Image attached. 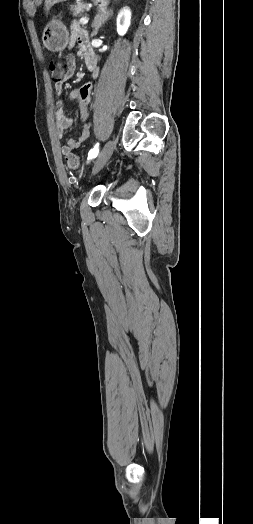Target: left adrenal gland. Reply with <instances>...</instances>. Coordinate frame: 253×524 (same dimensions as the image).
Returning <instances> with one entry per match:
<instances>
[{"label":"left adrenal gland","instance_id":"1","mask_svg":"<svg viewBox=\"0 0 253 524\" xmlns=\"http://www.w3.org/2000/svg\"><path fill=\"white\" fill-rule=\"evenodd\" d=\"M112 15H113V10L112 9H105V10L100 11L95 16V19H94L93 24H92V27L94 28L93 29V33H92V37L97 35V33L99 31V28L102 27V25L105 24L106 21L110 17H112Z\"/></svg>","mask_w":253,"mask_h":524}]
</instances>
